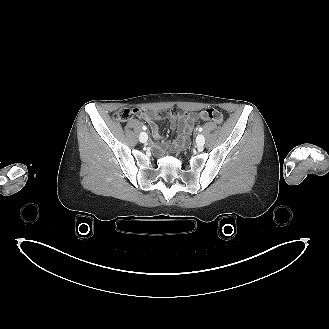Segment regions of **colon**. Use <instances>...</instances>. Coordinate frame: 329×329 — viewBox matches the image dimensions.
Instances as JSON below:
<instances>
[{
    "label": "colon",
    "mask_w": 329,
    "mask_h": 329,
    "mask_svg": "<svg viewBox=\"0 0 329 329\" xmlns=\"http://www.w3.org/2000/svg\"><path fill=\"white\" fill-rule=\"evenodd\" d=\"M142 112L139 109L130 110L122 109L113 115V119L116 121L126 122L133 116L134 113ZM199 117L204 121H214L218 124H221L224 120L223 114L220 110L215 108H209L201 111Z\"/></svg>",
    "instance_id": "5ec220e1"
}]
</instances>
